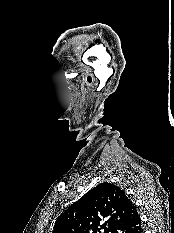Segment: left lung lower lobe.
I'll return each instance as SVG.
<instances>
[{
    "label": "left lung lower lobe",
    "instance_id": "left-lung-lower-lobe-1",
    "mask_svg": "<svg viewBox=\"0 0 174 233\" xmlns=\"http://www.w3.org/2000/svg\"><path fill=\"white\" fill-rule=\"evenodd\" d=\"M118 233H143L138 213L121 227Z\"/></svg>",
    "mask_w": 174,
    "mask_h": 233
}]
</instances>
